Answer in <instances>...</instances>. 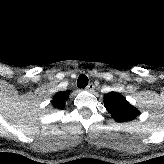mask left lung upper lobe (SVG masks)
Returning a JSON list of instances; mask_svg holds the SVG:
<instances>
[{"label":"left lung upper lobe","instance_id":"left-lung-upper-lobe-1","mask_svg":"<svg viewBox=\"0 0 164 164\" xmlns=\"http://www.w3.org/2000/svg\"><path fill=\"white\" fill-rule=\"evenodd\" d=\"M107 111L117 122H126L136 118L140 112L133 107L121 94L110 92L104 96Z\"/></svg>","mask_w":164,"mask_h":164}]
</instances>
